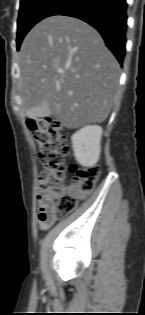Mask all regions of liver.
Instances as JSON below:
<instances>
[{
	"instance_id": "liver-1",
	"label": "liver",
	"mask_w": 145,
	"mask_h": 315,
	"mask_svg": "<svg viewBox=\"0 0 145 315\" xmlns=\"http://www.w3.org/2000/svg\"><path fill=\"white\" fill-rule=\"evenodd\" d=\"M18 89L27 116H54L69 129L108 117L119 64L100 34L68 16H51L25 37Z\"/></svg>"
}]
</instances>
